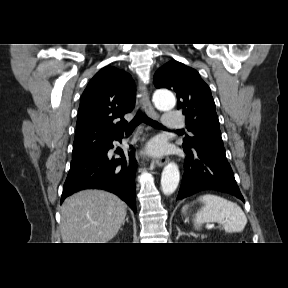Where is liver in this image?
I'll return each instance as SVG.
<instances>
[{
  "instance_id": "6515ba94",
  "label": "liver",
  "mask_w": 288,
  "mask_h": 288,
  "mask_svg": "<svg viewBox=\"0 0 288 288\" xmlns=\"http://www.w3.org/2000/svg\"><path fill=\"white\" fill-rule=\"evenodd\" d=\"M126 204L103 190H84L68 197L61 207L63 243H107L125 221Z\"/></svg>"
}]
</instances>
